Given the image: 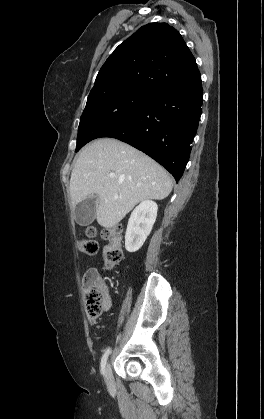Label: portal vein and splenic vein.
Masks as SVG:
<instances>
[{
	"label": "portal vein and splenic vein",
	"mask_w": 264,
	"mask_h": 419,
	"mask_svg": "<svg viewBox=\"0 0 264 419\" xmlns=\"http://www.w3.org/2000/svg\"><path fill=\"white\" fill-rule=\"evenodd\" d=\"M110 176H111V177H114V174H111Z\"/></svg>",
	"instance_id": "portal-vein-and-splenic-vein-1"
}]
</instances>
